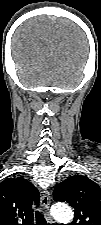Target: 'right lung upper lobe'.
<instances>
[{
  "label": "right lung upper lobe",
  "mask_w": 101,
  "mask_h": 225,
  "mask_svg": "<svg viewBox=\"0 0 101 225\" xmlns=\"http://www.w3.org/2000/svg\"><path fill=\"white\" fill-rule=\"evenodd\" d=\"M39 192L22 177L0 183V225H33V205L39 204Z\"/></svg>",
  "instance_id": "obj_1"
}]
</instances>
